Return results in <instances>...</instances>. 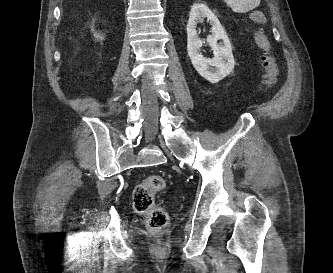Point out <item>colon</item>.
I'll use <instances>...</instances> for the list:
<instances>
[{
  "label": "colon",
  "instance_id": "colon-1",
  "mask_svg": "<svg viewBox=\"0 0 333 273\" xmlns=\"http://www.w3.org/2000/svg\"><path fill=\"white\" fill-rule=\"evenodd\" d=\"M255 26L265 23L266 18L262 12H252L249 16ZM255 40L263 50L260 58L264 69V78L261 84L262 89L272 88L277 80L278 65L271 54V46L268 37L261 28L255 29ZM165 188V180L161 175L151 174L146 176L133 191L134 209L146 218L148 227L155 232L164 231L169 223L167 212L156 204L155 195Z\"/></svg>",
  "mask_w": 333,
  "mask_h": 273
}]
</instances>
